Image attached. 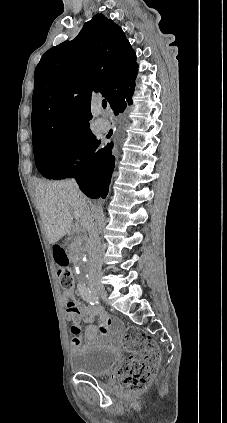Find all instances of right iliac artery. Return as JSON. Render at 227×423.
<instances>
[{
    "label": "right iliac artery",
    "mask_w": 227,
    "mask_h": 423,
    "mask_svg": "<svg viewBox=\"0 0 227 423\" xmlns=\"http://www.w3.org/2000/svg\"><path fill=\"white\" fill-rule=\"evenodd\" d=\"M82 298L90 304H99V297L96 293L92 292L86 285L79 287Z\"/></svg>",
    "instance_id": "obj_1"
}]
</instances>
